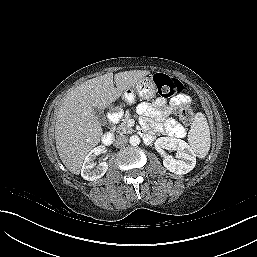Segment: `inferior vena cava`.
Here are the masks:
<instances>
[{"label":"inferior vena cava","mask_w":257,"mask_h":257,"mask_svg":"<svg viewBox=\"0 0 257 257\" xmlns=\"http://www.w3.org/2000/svg\"><path fill=\"white\" fill-rule=\"evenodd\" d=\"M127 143H128V137L125 136V135H121V136H118V137L115 139L114 145H115L116 147H123V146H125Z\"/></svg>","instance_id":"inferior-vena-cava-1"}]
</instances>
